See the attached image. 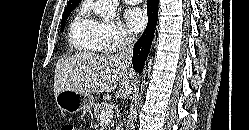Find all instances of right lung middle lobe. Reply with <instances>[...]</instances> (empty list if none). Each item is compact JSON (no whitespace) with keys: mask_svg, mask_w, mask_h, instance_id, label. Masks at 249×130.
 <instances>
[{"mask_svg":"<svg viewBox=\"0 0 249 130\" xmlns=\"http://www.w3.org/2000/svg\"><path fill=\"white\" fill-rule=\"evenodd\" d=\"M78 5V3L75 4H70L67 5V7L64 10V13L62 15V22H61V26H62V31L64 30V25H65V20L68 18L69 14L71 13V11L74 10V8Z\"/></svg>","mask_w":249,"mask_h":130,"instance_id":"1","label":"right lung middle lobe"}]
</instances>
